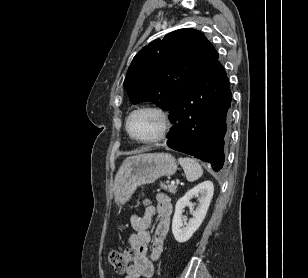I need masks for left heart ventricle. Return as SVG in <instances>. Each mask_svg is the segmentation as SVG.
Wrapping results in <instances>:
<instances>
[{
	"instance_id": "b2bd125f",
	"label": "left heart ventricle",
	"mask_w": 308,
	"mask_h": 278,
	"mask_svg": "<svg viewBox=\"0 0 308 278\" xmlns=\"http://www.w3.org/2000/svg\"><path fill=\"white\" fill-rule=\"evenodd\" d=\"M130 128L133 134L138 138H152L160 131L161 120L154 112L141 111L132 117Z\"/></svg>"
}]
</instances>
